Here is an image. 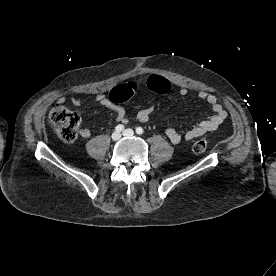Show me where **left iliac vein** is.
Wrapping results in <instances>:
<instances>
[{
  "instance_id": "obj_1",
  "label": "left iliac vein",
  "mask_w": 276,
  "mask_h": 276,
  "mask_svg": "<svg viewBox=\"0 0 276 276\" xmlns=\"http://www.w3.org/2000/svg\"><path fill=\"white\" fill-rule=\"evenodd\" d=\"M123 135L127 137H131L134 135V131L132 129H126L123 131Z\"/></svg>"
}]
</instances>
